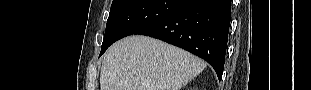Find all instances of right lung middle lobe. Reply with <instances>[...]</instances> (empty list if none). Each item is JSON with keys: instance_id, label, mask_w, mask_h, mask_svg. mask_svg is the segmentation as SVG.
Here are the masks:
<instances>
[{"instance_id": "right-lung-middle-lobe-1", "label": "right lung middle lobe", "mask_w": 311, "mask_h": 90, "mask_svg": "<svg viewBox=\"0 0 311 90\" xmlns=\"http://www.w3.org/2000/svg\"><path fill=\"white\" fill-rule=\"evenodd\" d=\"M182 2L183 0H113L100 55L115 41L136 34L161 20Z\"/></svg>"}]
</instances>
